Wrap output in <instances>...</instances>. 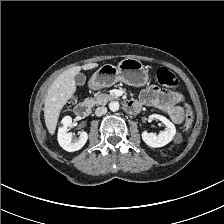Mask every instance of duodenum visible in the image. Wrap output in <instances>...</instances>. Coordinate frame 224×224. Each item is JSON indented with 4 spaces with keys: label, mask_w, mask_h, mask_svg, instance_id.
I'll list each match as a JSON object with an SVG mask.
<instances>
[{
    "label": "duodenum",
    "mask_w": 224,
    "mask_h": 224,
    "mask_svg": "<svg viewBox=\"0 0 224 224\" xmlns=\"http://www.w3.org/2000/svg\"><path fill=\"white\" fill-rule=\"evenodd\" d=\"M91 107L92 103L89 100H86L81 103H78L74 107V112L79 117H86L87 115H89ZM124 108L126 112L134 114L138 112L140 105L136 103L134 100H128L124 103Z\"/></svg>",
    "instance_id": "1"
}]
</instances>
